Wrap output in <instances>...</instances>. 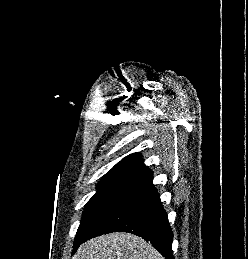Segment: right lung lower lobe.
<instances>
[{
	"label": "right lung lower lobe",
	"mask_w": 248,
	"mask_h": 259,
	"mask_svg": "<svg viewBox=\"0 0 248 259\" xmlns=\"http://www.w3.org/2000/svg\"><path fill=\"white\" fill-rule=\"evenodd\" d=\"M149 177L132 186L108 210L97 225L74 244L75 252L81 243L102 234L129 232L149 241L165 259L172 255L173 233L159 194Z\"/></svg>",
	"instance_id": "98d812e1"
}]
</instances>
